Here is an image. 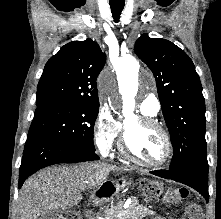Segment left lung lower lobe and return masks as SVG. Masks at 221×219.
<instances>
[{"label":"left lung lower lobe","mask_w":221,"mask_h":219,"mask_svg":"<svg viewBox=\"0 0 221 219\" xmlns=\"http://www.w3.org/2000/svg\"><path fill=\"white\" fill-rule=\"evenodd\" d=\"M153 175L183 183L197 190L208 202V161L207 156L193 158L176 169L156 170Z\"/></svg>","instance_id":"0a47b994"}]
</instances>
